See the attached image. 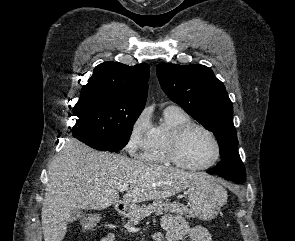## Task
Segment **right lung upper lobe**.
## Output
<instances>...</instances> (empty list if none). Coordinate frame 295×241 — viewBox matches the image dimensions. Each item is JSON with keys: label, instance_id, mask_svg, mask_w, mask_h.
I'll use <instances>...</instances> for the list:
<instances>
[{"label": "right lung upper lobe", "instance_id": "cb5924a9", "mask_svg": "<svg viewBox=\"0 0 295 241\" xmlns=\"http://www.w3.org/2000/svg\"><path fill=\"white\" fill-rule=\"evenodd\" d=\"M149 65L146 63L128 66L116 62H104L95 67L88 83L82 87L80 97L100 91L115 98L145 106Z\"/></svg>", "mask_w": 295, "mask_h": 241}]
</instances>
